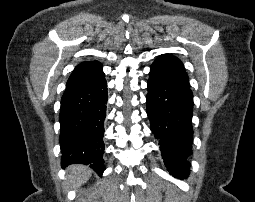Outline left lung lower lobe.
<instances>
[{"mask_svg":"<svg viewBox=\"0 0 255 202\" xmlns=\"http://www.w3.org/2000/svg\"><path fill=\"white\" fill-rule=\"evenodd\" d=\"M147 115L159 140L165 165L177 178L189 175L192 145L193 95L189 87L150 73L147 83Z\"/></svg>","mask_w":255,"mask_h":202,"instance_id":"left-lung-lower-lobe-1","label":"left lung lower lobe"}]
</instances>
